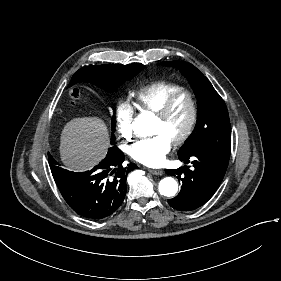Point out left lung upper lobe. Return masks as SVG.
Instances as JSON below:
<instances>
[{"label": "left lung upper lobe", "instance_id": "left-lung-upper-lobe-1", "mask_svg": "<svg viewBox=\"0 0 281 281\" xmlns=\"http://www.w3.org/2000/svg\"><path fill=\"white\" fill-rule=\"evenodd\" d=\"M161 64L179 67L182 74L188 78L197 98V123L178 155L204 150L229 160L231 128L223 99L209 80L192 64L185 61H168Z\"/></svg>", "mask_w": 281, "mask_h": 281}]
</instances>
